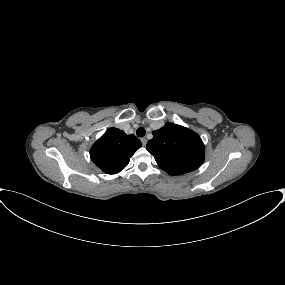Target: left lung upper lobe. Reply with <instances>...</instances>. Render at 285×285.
I'll list each match as a JSON object with an SVG mask.
<instances>
[{
	"instance_id": "5c2ea615",
	"label": "left lung upper lobe",
	"mask_w": 285,
	"mask_h": 285,
	"mask_svg": "<svg viewBox=\"0 0 285 285\" xmlns=\"http://www.w3.org/2000/svg\"><path fill=\"white\" fill-rule=\"evenodd\" d=\"M146 149L169 175L194 171L204 161L205 147L200 136L188 128L169 122L153 131V138L148 141Z\"/></svg>"
}]
</instances>
